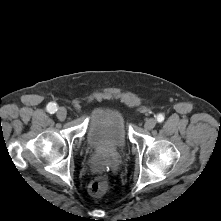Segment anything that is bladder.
<instances>
[{"mask_svg": "<svg viewBox=\"0 0 221 221\" xmlns=\"http://www.w3.org/2000/svg\"><path fill=\"white\" fill-rule=\"evenodd\" d=\"M87 144L101 152H115L128 142L125 119L120 110L104 105L92 114L86 133Z\"/></svg>", "mask_w": 221, "mask_h": 221, "instance_id": "obj_1", "label": "bladder"}]
</instances>
